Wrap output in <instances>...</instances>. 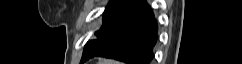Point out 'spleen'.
<instances>
[{
	"instance_id": "3e777b00",
	"label": "spleen",
	"mask_w": 242,
	"mask_h": 64,
	"mask_svg": "<svg viewBox=\"0 0 242 64\" xmlns=\"http://www.w3.org/2000/svg\"><path fill=\"white\" fill-rule=\"evenodd\" d=\"M102 64H118V63H116L114 61H106L105 63H102Z\"/></svg>"
}]
</instances>
